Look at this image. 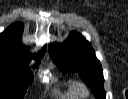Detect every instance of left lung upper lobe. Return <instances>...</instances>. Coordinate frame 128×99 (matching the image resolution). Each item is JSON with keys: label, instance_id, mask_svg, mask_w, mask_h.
<instances>
[{"label": "left lung upper lobe", "instance_id": "5c2ea615", "mask_svg": "<svg viewBox=\"0 0 128 99\" xmlns=\"http://www.w3.org/2000/svg\"><path fill=\"white\" fill-rule=\"evenodd\" d=\"M50 56L66 72H77L90 86L96 99H105L103 71L91 44L80 34L71 32L61 44L50 46Z\"/></svg>", "mask_w": 128, "mask_h": 99}]
</instances>
